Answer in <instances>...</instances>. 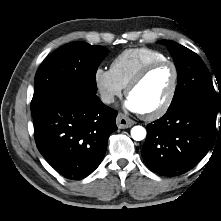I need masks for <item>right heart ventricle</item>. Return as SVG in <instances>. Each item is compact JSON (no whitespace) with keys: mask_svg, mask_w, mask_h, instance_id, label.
Here are the masks:
<instances>
[{"mask_svg":"<svg viewBox=\"0 0 221 221\" xmlns=\"http://www.w3.org/2000/svg\"><path fill=\"white\" fill-rule=\"evenodd\" d=\"M164 59L166 57L163 53L152 48H129L122 51L112 60L110 71L119 84L125 88L145 65Z\"/></svg>","mask_w":221,"mask_h":221,"instance_id":"1","label":"right heart ventricle"}]
</instances>
